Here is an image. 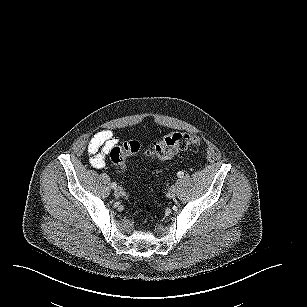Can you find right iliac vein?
Wrapping results in <instances>:
<instances>
[{
	"instance_id": "right-iliac-vein-1",
	"label": "right iliac vein",
	"mask_w": 307,
	"mask_h": 307,
	"mask_svg": "<svg viewBox=\"0 0 307 307\" xmlns=\"http://www.w3.org/2000/svg\"><path fill=\"white\" fill-rule=\"evenodd\" d=\"M116 197H120L123 195V189L121 187H117L114 192Z\"/></svg>"
}]
</instances>
